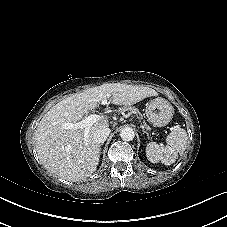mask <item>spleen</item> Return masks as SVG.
Here are the masks:
<instances>
[{
  "label": "spleen",
  "mask_w": 227,
  "mask_h": 227,
  "mask_svg": "<svg viewBox=\"0 0 227 227\" xmlns=\"http://www.w3.org/2000/svg\"><path fill=\"white\" fill-rule=\"evenodd\" d=\"M188 135L185 129L175 127L166 138V146L150 142L146 147V156L152 163L162 162L165 165L173 164L178 154L187 147Z\"/></svg>",
  "instance_id": "3e777b00"
}]
</instances>
